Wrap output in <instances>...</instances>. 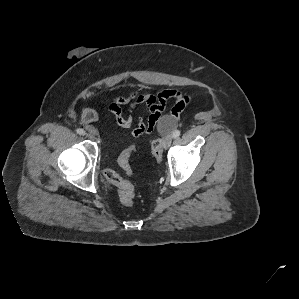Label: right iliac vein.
Listing matches in <instances>:
<instances>
[{
    "mask_svg": "<svg viewBox=\"0 0 299 299\" xmlns=\"http://www.w3.org/2000/svg\"><path fill=\"white\" fill-rule=\"evenodd\" d=\"M86 137L93 140L94 139V135L91 133H86Z\"/></svg>",
    "mask_w": 299,
    "mask_h": 299,
    "instance_id": "right-iliac-vein-1",
    "label": "right iliac vein"
}]
</instances>
